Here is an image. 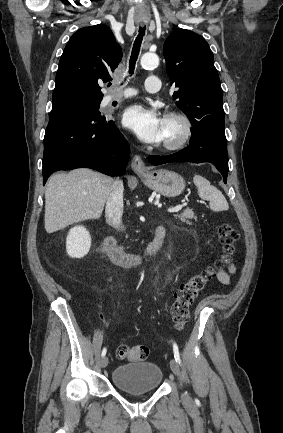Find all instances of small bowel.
Segmentation results:
<instances>
[{"label": "small bowel", "instance_id": "small-bowel-1", "mask_svg": "<svg viewBox=\"0 0 283 433\" xmlns=\"http://www.w3.org/2000/svg\"><path fill=\"white\" fill-rule=\"evenodd\" d=\"M235 272V267L231 265L228 271H220L217 274L218 280L223 284H228L230 282V278L232 274Z\"/></svg>", "mask_w": 283, "mask_h": 433}]
</instances>
